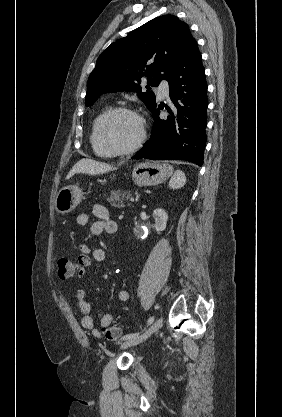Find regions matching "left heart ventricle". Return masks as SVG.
Segmentation results:
<instances>
[{"instance_id":"obj_1","label":"left heart ventricle","mask_w":282,"mask_h":417,"mask_svg":"<svg viewBox=\"0 0 282 417\" xmlns=\"http://www.w3.org/2000/svg\"><path fill=\"white\" fill-rule=\"evenodd\" d=\"M109 140L115 146L133 143L140 134V125L136 118L129 115L116 117L109 127Z\"/></svg>"}]
</instances>
